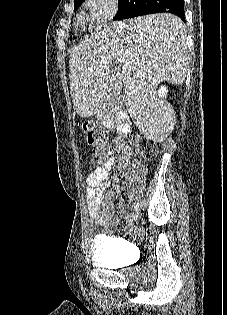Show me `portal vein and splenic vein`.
<instances>
[{"mask_svg": "<svg viewBox=\"0 0 227 315\" xmlns=\"http://www.w3.org/2000/svg\"><path fill=\"white\" fill-rule=\"evenodd\" d=\"M106 64H109V63H107V62H105ZM128 71V67H122V72L123 73H125V72H127Z\"/></svg>", "mask_w": 227, "mask_h": 315, "instance_id": "1", "label": "portal vein and splenic vein"}]
</instances>
